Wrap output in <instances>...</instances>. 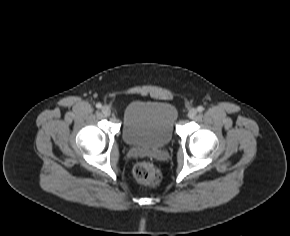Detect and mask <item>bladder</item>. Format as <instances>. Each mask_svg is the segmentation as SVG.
I'll return each instance as SVG.
<instances>
[{
  "mask_svg": "<svg viewBox=\"0 0 290 236\" xmlns=\"http://www.w3.org/2000/svg\"><path fill=\"white\" fill-rule=\"evenodd\" d=\"M176 118V110L169 103L132 102L124 112L123 139L132 147H165L173 138Z\"/></svg>",
  "mask_w": 290,
  "mask_h": 236,
  "instance_id": "1",
  "label": "bladder"
}]
</instances>
